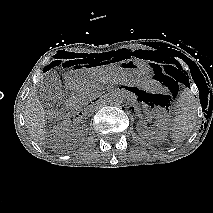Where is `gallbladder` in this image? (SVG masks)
I'll list each match as a JSON object with an SVG mask.
<instances>
[{"label":"gallbladder","instance_id":"obj_1","mask_svg":"<svg viewBox=\"0 0 213 213\" xmlns=\"http://www.w3.org/2000/svg\"><path fill=\"white\" fill-rule=\"evenodd\" d=\"M40 96L54 105L64 102V92L59 75L56 72H48L38 83Z\"/></svg>","mask_w":213,"mask_h":213}]
</instances>
